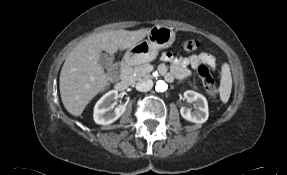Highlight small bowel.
Returning <instances> with one entry per match:
<instances>
[{
    "mask_svg": "<svg viewBox=\"0 0 287 175\" xmlns=\"http://www.w3.org/2000/svg\"><path fill=\"white\" fill-rule=\"evenodd\" d=\"M162 61L170 64V70H168L165 64L159 66V72L165 77L167 81H172V79H184L189 76L190 71L188 69L191 66L193 69L201 63H206L210 67H216L215 57L209 53L203 52L198 55H192L190 57L175 56L171 52H164L161 55Z\"/></svg>",
    "mask_w": 287,
    "mask_h": 175,
    "instance_id": "small-bowel-1",
    "label": "small bowel"
}]
</instances>
